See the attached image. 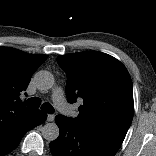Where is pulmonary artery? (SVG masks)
Instances as JSON below:
<instances>
[{
    "instance_id": "pulmonary-artery-1",
    "label": "pulmonary artery",
    "mask_w": 156,
    "mask_h": 156,
    "mask_svg": "<svg viewBox=\"0 0 156 156\" xmlns=\"http://www.w3.org/2000/svg\"><path fill=\"white\" fill-rule=\"evenodd\" d=\"M52 100L59 110L67 113L71 117H74L76 115L75 110L70 108V106L67 104L61 88L54 89L52 93Z\"/></svg>"
}]
</instances>
